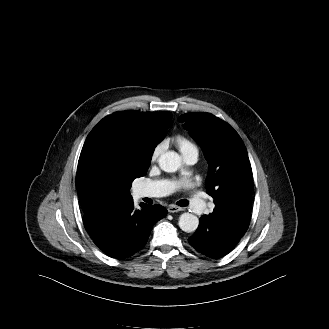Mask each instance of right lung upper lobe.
<instances>
[{
    "instance_id": "right-lung-upper-lobe-1",
    "label": "right lung upper lobe",
    "mask_w": 329,
    "mask_h": 329,
    "mask_svg": "<svg viewBox=\"0 0 329 329\" xmlns=\"http://www.w3.org/2000/svg\"><path fill=\"white\" fill-rule=\"evenodd\" d=\"M171 118L170 112L123 111L103 118L92 129L82 148L76 177L77 192L84 212L101 203L85 191L82 183L85 173L97 165L113 168L110 157L115 155L121 143H143L154 149L170 127ZM130 187L122 184L120 193L130 195Z\"/></svg>"
}]
</instances>
